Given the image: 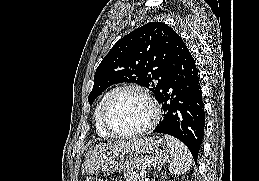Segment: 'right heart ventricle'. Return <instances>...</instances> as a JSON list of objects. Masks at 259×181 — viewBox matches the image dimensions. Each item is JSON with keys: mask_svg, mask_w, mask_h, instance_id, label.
<instances>
[{"mask_svg": "<svg viewBox=\"0 0 259 181\" xmlns=\"http://www.w3.org/2000/svg\"><path fill=\"white\" fill-rule=\"evenodd\" d=\"M111 92L112 91L106 92L100 98L99 102L97 103V105L94 109V113H93V120H94L96 132L99 136H102V137H110L111 136L108 133V131L104 128V126L102 125V122H101V111H102V108H103V105H104L106 99L108 98V96L110 95Z\"/></svg>", "mask_w": 259, "mask_h": 181, "instance_id": "obj_1", "label": "right heart ventricle"}]
</instances>
